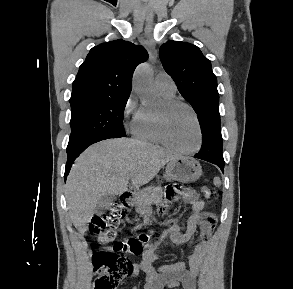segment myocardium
Returning a JSON list of instances; mask_svg holds the SVG:
<instances>
[{"instance_id": "myocardium-1", "label": "myocardium", "mask_w": 293, "mask_h": 289, "mask_svg": "<svg viewBox=\"0 0 293 289\" xmlns=\"http://www.w3.org/2000/svg\"><path fill=\"white\" fill-rule=\"evenodd\" d=\"M163 105V108L165 110H170V109H173L175 107H179V106H182V107H185L187 108L193 118H194V121L196 123V127H197V143L196 145L191 148V149H188V150H184V149H179L177 147H175L167 138L166 136V132H165V122H164V116L161 112H158L156 111L155 112V130H156V134H157V137L159 139V142L164 145L165 147H167L168 149L178 153V154H182V155H193V154H196L200 151L201 147H202V144H203V132H202V126H201V123H200V120H199V117L196 113V111L194 110V108L188 104L187 102L185 101H182L180 99H165L162 103Z\"/></svg>"}]
</instances>
